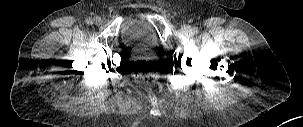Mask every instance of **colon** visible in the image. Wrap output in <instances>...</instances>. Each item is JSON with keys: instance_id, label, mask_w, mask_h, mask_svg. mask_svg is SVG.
<instances>
[{"instance_id": "obj_1", "label": "colon", "mask_w": 303, "mask_h": 127, "mask_svg": "<svg viewBox=\"0 0 303 127\" xmlns=\"http://www.w3.org/2000/svg\"><path fill=\"white\" fill-rule=\"evenodd\" d=\"M138 76L143 83L151 84L155 76L156 67L152 63L143 62L137 67Z\"/></svg>"}]
</instances>
